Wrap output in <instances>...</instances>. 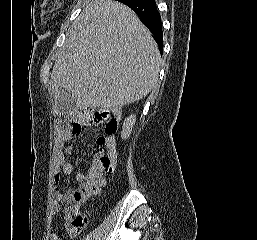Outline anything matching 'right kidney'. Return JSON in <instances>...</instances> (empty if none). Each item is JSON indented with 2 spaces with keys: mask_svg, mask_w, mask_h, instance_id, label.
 <instances>
[{
  "mask_svg": "<svg viewBox=\"0 0 257 240\" xmlns=\"http://www.w3.org/2000/svg\"><path fill=\"white\" fill-rule=\"evenodd\" d=\"M135 122H136V115L134 114L125 119L123 123V129L121 132V136L123 139H127L130 136Z\"/></svg>",
  "mask_w": 257,
  "mask_h": 240,
  "instance_id": "right-kidney-1",
  "label": "right kidney"
}]
</instances>
